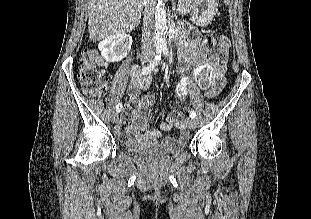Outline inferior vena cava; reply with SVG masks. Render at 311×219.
I'll use <instances>...</instances> for the list:
<instances>
[{"label": "inferior vena cava", "mask_w": 311, "mask_h": 219, "mask_svg": "<svg viewBox=\"0 0 311 219\" xmlns=\"http://www.w3.org/2000/svg\"><path fill=\"white\" fill-rule=\"evenodd\" d=\"M144 6L143 30H142V51H154L155 35H154V0H142Z\"/></svg>", "instance_id": "obj_1"}]
</instances>
